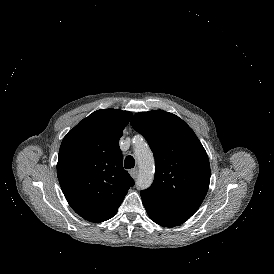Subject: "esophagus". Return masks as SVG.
<instances>
[{
	"mask_svg": "<svg viewBox=\"0 0 274 274\" xmlns=\"http://www.w3.org/2000/svg\"><path fill=\"white\" fill-rule=\"evenodd\" d=\"M129 173L132 176V178L136 179L138 176V169L137 168L131 169Z\"/></svg>",
	"mask_w": 274,
	"mask_h": 274,
	"instance_id": "esophagus-1",
	"label": "esophagus"
}]
</instances>
